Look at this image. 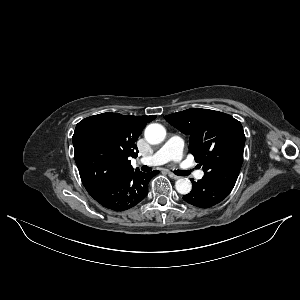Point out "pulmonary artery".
Listing matches in <instances>:
<instances>
[{
  "label": "pulmonary artery",
  "mask_w": 300,
  "mask_h": 300,
  "mask_svg": "<svg viewBox=\"0 0 300 300\" xmlns=\"http://www.w3.org/2000/svg\"><path fill=\"white\" fill-rule=\"evenodd\" d=\"M184 143L179 137H171L167 142L153 155L143 157L140 162L144 165H158L170 160L179 161L183 156ZM203 171H197L195 176L202 179Z\"/></svg>",
  "instance_id": "obj_1"
}]
</instances>
